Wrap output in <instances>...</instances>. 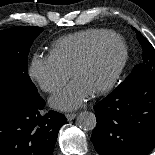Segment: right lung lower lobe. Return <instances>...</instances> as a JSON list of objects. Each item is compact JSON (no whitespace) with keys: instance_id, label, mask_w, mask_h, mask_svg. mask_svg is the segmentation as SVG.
Segmentation results:
<instances>
[{"instance_id":"right-lung-lower-lobe-1","label":"right lung lower lobe","mask_w":155,"mask_h":155,"mask_svg":"<svg viewBox=\"0 0 155 155\" xmlns=\"http://www.w3.org/2000/svg\"><path fill=\"white\" fill-rule=\"evenodd\" d=\"M45 101L37 93L27 105L0 102V155H52L63 114L42 116Z\"/></svg>"}]
</instances>
